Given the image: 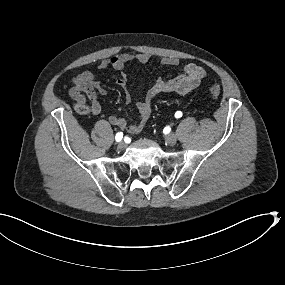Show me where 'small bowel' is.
Returning a JSON list of instances; mask_svg holds the SVG:
<instances>
[{"mask_svg":"<svg viewBox=\"0 0 285 285\" xmlns=\"http://www.w3.org/2000/svg\"><path fill=\"white\" fill-rule=\"evenodd\" d=\"M150 55L147 53H123L100 62V69L112 68L117 71L124 69L126 64L137 61L141 64H147ZM161 63L165 66L178 67L180 62L175 57H164ZM205 70L195 63H185L182 72L172 79H157L147 90L143 100L136 103L139 115V121L135 124L128 125L126 120L118 115H111L109 122L121 129L126 130L130 134H138L142 131L151 116L152 101L161 93H176L178 95H186L197 88L205 78ZM117 84L125 91V103H132V96L127 89L126 79L121 77L117 80ZM107 93L105 87L96 79L95 74L90 71H83L73 78V85L69 94L76 102H85L86 98L91 101L92 113L98 114L101 110L97 102L98 95Z\"/></svg>","mask_w":285,"mask_h":285,"instance_id":"small-bowel-1","label":"small bowel"}]
</instances>
